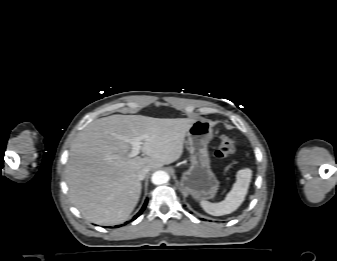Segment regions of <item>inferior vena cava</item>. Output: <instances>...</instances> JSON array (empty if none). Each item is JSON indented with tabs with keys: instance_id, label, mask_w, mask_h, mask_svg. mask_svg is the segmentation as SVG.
Listing matches in <instances>:
<instances>
[{
	"instance_id": "obj_1",
	"label": "inferior vena cava",
	"mask_w": 337,
	"mask_h": 261,
	"mask_svg": "<svg viewBox=\"0 0 337 261\" xmlns=\"http://www.w3.org/2000/svg\"><path fill=\"white\" fill-rule=\"evenodd\" d=\"M148 172H149L148 168H143L142 170H140L138 172V179L139 180H143L146 177V175H147Z\"/></svg>"
}]
</instances>
